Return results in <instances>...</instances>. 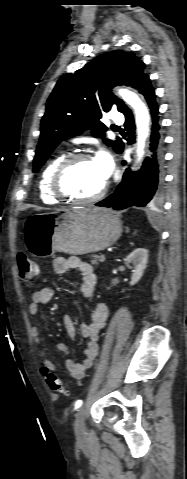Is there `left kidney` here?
Wrapping results in <instances>:
<instances>
[{"label":"left kidney","instance_id":"left-kidney-1","mask_svg":"<svg viewBox=\"0 0 187 479\" xmlns=\"http://www.w3.org/2000/svg\"><path fill=\"white\" fill-rule=\"evenodd\" d=\"M126 262L133 272L130 284L135 285L141 279L146 269L148 251L144 248H137L127 256Z\"/></svg>","mask_w":187,"mask_h":479}]
</instances>
